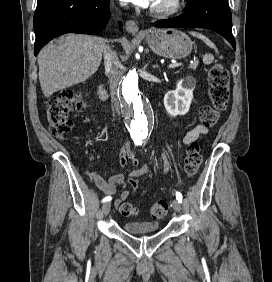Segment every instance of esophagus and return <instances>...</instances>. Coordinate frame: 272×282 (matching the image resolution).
Masks as SVG:
<instances>
[{
  "label": "esophagus",
  "mask_w": 272,
  "mask_h": 282,
  "mask_svg": "<svg viewBox=\"0 0 272 282\" xmlns=\"http://www.w3.org/2000/svg\"><path fill=\"white\" fill-rule=\"evenodd\" d=\"M125 27H126V30L129 33L134 34V35L137 34L138 31H139V27H138L137 23L133 20L126 21Z\"/></svg>",
  "instance_id": "1"
}]
</instances>
